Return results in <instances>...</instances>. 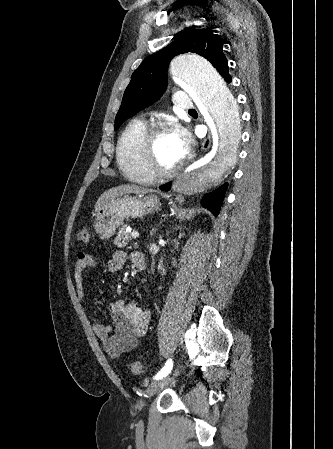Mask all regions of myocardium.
<instances>
[{"label": "myocardium", "mask_w": 333, "mask_h": 449, "mask_svg": "<svg viewBox=\"0 0 333 449\" xmlns=\"http://www.w3.org/2000/svg\"><path fill=\"white\" fill-rule=\"evenodd\" d=\"M171 129L163 122L154 123L147 128L141 142V155L145 170L153 179H166L174 176L184 165L185 160H181L176 166L165 169L158 165L155 144L157 138Z\"/></svg>", "instance_id": "myocardium-1"}]
</instances>
